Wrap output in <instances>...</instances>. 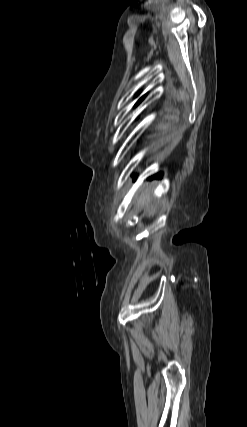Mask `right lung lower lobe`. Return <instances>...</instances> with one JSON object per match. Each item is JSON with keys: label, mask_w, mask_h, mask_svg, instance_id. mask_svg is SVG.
Returning a JSON list of instances; mask_svg holds the SVG:
<instances>
[{"label": "right lung lower lobe", "mask_w": 247, "mask_h": 427, "mask_svg": "<svg viewBox=\"0 0 247 427\" xmlns=\"http://www.w3.org/2000/svg\"><path fill=\"white\" fill-rule=\"evenodd\" d=\"M162 176L161 173H159L158 175H155L154 177L160 178Z\"/></svg>", "instance_id": "1"}]
</instances>
